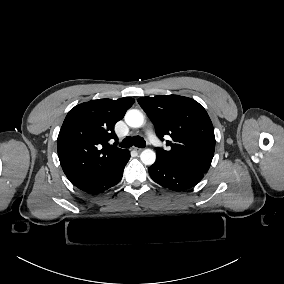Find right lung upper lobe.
I'll return each instance as SVG.
<instances>
[{
	"instance_id": "right-lung-upper-lobe-1",
	"label": "right lung upper lobe",
	"mask_w": 284,
	"mask_h": 284,
	"mask_svg": "<svg viewBox=\"0 0 284 284\" xmlns=\"http://www.w3.org/2000/svg\"><path fill=\"white\" fill-rule=\"evenodd\" d=\"M133 103L130 97L92 100L68 112L57 149L65 175L77 188L83 190L96 182L128 151L110 146L108 141L114 139L117 143L114 125Z\"/></svg>"
}]
</instances>
